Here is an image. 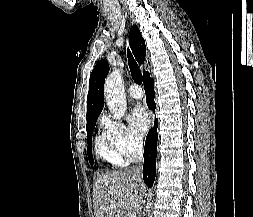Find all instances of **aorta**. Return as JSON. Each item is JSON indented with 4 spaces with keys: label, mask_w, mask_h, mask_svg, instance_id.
I'll use <instances>...</instances> for the list:
<instances>
[{
    "label": "aorta",
    "mask_w": 253,
    "mask_h": 217,
    "mask_svg": "<svg viewBox=\"0 0 253 217\" xmlns=\"http://www.w3.org/2000/svg\"><path fill=\"white\" fill-rule=\"evenodd\" d=\"M104 96L113 118H122L127 110V102L120 72L113 71L106 78L104 85Z\"/></svg>",
    "instance_id": "obj_1"
}]
</instances>
